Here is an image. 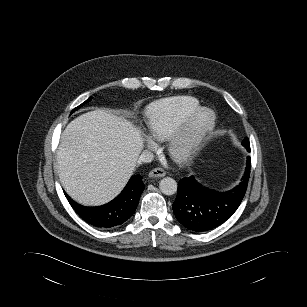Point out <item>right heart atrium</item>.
<instances>
[{
    "label": "right heart atrium",
    "mask_w": 307,
    "mask_h": 307,
    "mask_svg": "<svg viewBox=\"0 0 307 307\" xmlns=\"http://www.w3.org/2000/svg\"><path fill=\"white\" fill-rule=\"evenodd\" d=\"M147 144H148L149 147L154 146V142L151 139H148Z\"/></svg>",
    "instance_id": "right-heart-atrium-1"
}]
</instances>
